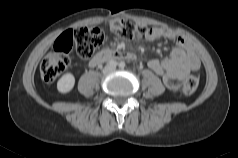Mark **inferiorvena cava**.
Returning a JSON list of instances; mask_svg holds the SVG:
<instances>
[{
	"label": "inferior vena cava",
	"instance_id": "1",
	"mask_svg": "<svg viewBox=\"0 0 238 158\" xmlns=\"http://www.w3.org/2000/svg\"><path fill=\"white\" fill-rule=\"evenodd\" d=\"M114 67L113 66H106L104 71H110V70H113Z\"/></svg>",
	"mask_w": 238,
	"mask_h": 158
}]
</instances>
